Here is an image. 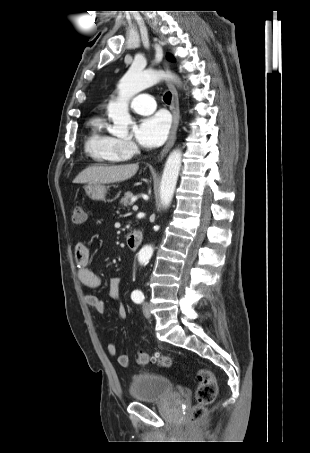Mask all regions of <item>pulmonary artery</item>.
<instances>
[{
  "mask_svg": "<svg viewBox=\"0 0 310 453\" xmlns=\"http://www.w3.org/2000/svg\"><path fill=\"white\" fill-rule=\"evenodd\" d=\"M131 108L138 114H150L156 108L154 98L149 94H138L130 101Z\"/></svg>",
  "mask_w": 310,
  "mask_h": 453,
  "instance_id": "e3ab8cb5",
  "label": "pulmonary artery"
}]
</instances>
